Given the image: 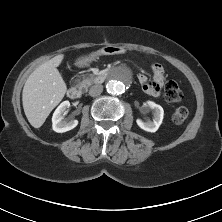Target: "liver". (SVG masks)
I'll list each match as a JSON object with an SVG mask.
<instances>
[{
  "label": "liver",
  "mask_w": 222,
  "mask_h": 222,
  "mask_svg": "<svg viewBox=\"0 0 222 222\" xmlns=\"http://www.w3.org/2000/svg\"><path fill=\"white\" fill-rule=\"evenodd\" d=\"M64 58L56 55L36 68L22 91L25 115L34 128H40L50 112L61 102L67 87L57 67Z\"/></svg>",
  "instance_id": "6515ba94"
}]
</instances>
